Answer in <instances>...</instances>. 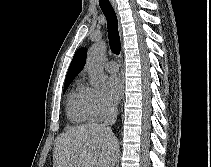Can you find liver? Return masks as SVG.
I'll use <instances>...</instances> for the list:
<instances>
[{
    "instance_id": "6515ba94",
    "label": "liver",
    "mask_w": 211,
    "mask_h": 167,
    "mask_svg": "<svg viewBox=\"0 0 211 167\" xmlns=\"http://www.w3.org/2000/svg\"><path fill=\"white\" fill-rule=\"evenodd\" d=\"M118 141L103 125L70 128L56 140L53 167H114Z\"/></svg>"
}]
</instances>
